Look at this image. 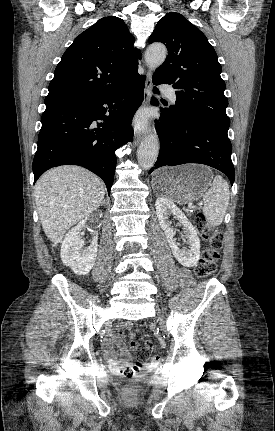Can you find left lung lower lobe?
Segmentation results:
<instances>
[{"label":"left lung lower lobe","mask_w":275,"mask_h":431,"mask_svg":"<svg viewBox=\"0 0 275 431\" xmlns=\"http://www.w3.org/2000/svg\"><path fill=\"white\" fill-rule=\"evenodd\" d=\"M155 85L161 84L153 80ZM154 92L159 93L155 87ZM153 105H158L152 99ZM161 145L155 166H175L185 163H200L223 172L234 182L235 171L231 160V142L228 125L211 122L196 116L176 114L169 109H161V118L156 121Z\"/></svg>","instance_id":"1"}]
</instances>
